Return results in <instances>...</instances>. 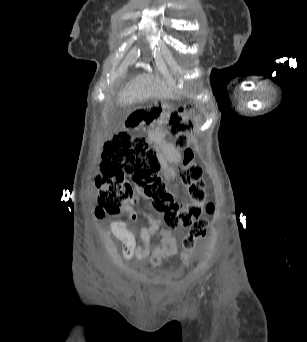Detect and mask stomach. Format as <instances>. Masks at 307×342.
Returning a JSON list of instances; mask_svg holds the SVG:
<instances>
[{
  "label": "stomach",
  "instance_id": "1",
  "mask_svg": "<svg viewBox=\"0 0 307 342\" xmlns=\"http://www.w3.org/2000/svg\"><path fill=\"white\" fill-rule=\"evenodd\" d=\"M172 110L170 104L162 102L160 107L134 111L129 116L128 122L134 129H141L147 125L153 130L168 123Z\"/></svg>",
  "mask_w": 307,
  "mask_h": 342
}]
</instances>
